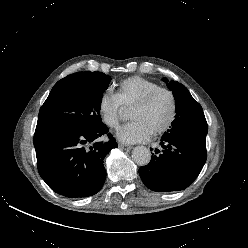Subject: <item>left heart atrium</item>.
Masks as SVG:
<instances>
[{"mask_svg":"<svg viewBox=\"0 0 248 248\" xmlns=\"http://www.w3.org/2000/svg\"><path fill=\"white\" fill-rule=\"evenodd\" d=\"M151 134V129L144 122L134 120L118 130L117 138L125 143H138L149 139Z\"/></svg>","mask_w":248,"mask_h":248,"instance_id":"1","label":"left heart atrium"}]
</instances>
